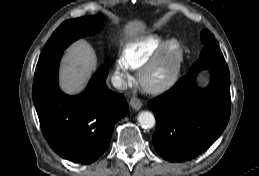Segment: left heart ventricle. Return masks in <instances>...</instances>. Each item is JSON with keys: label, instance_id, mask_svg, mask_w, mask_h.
<instances>
[{"label": "left heart ventricle", "instance_id": "obj_1", "mask_svg": "<svg viewBox=\"0 0 259 176\" xmlns=\"http://www.w3.org/2000/svg\"><path fill=\"white\" fill-rule=\"evenodd\" d=\"M170 68H171V62L168 60L155 70L154 78H161L165 76L169 72Z\"/></svg>", "mask_w": 259, "mask_h": 176}]
</instances>
